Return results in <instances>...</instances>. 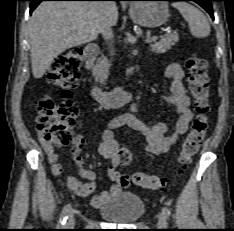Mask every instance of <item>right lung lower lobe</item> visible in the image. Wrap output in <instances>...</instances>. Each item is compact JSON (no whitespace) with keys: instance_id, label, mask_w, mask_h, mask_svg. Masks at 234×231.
I'll use <instances>...</instances> for the list:
<instances>
[{"instance_id":"right-lung-lower-lobe-1","label":"right lung lower lobe","mask_w":234,"mask_h":231,"mask_svg":"<svg viewBox=\"0 0 234 231\" xmlns=\"http://www.w3.org/2000/svg\"><path fill=\"white\" fill-rule=\"evenodd\" d=\"M29 1H31V5H30V14H31L32 11L37 7V5L42 1H85V0H29ZM94 1H97V0H94ZM115 1H118V0H115Z\"/></svg>"}]
</instances>
